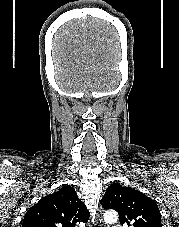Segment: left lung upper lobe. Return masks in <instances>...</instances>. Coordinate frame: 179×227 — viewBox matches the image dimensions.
<instances>
[{
  "instance_id": "1",
  "label": "left lung upper lobe",
  "mask_w": 179,
  "mask_h": 227,
  "mask_svg": "<svg viewBox=\"0 0 179 227\" xmlns=\"http://www.w3.org/2000/svg\"><path fill=\"white\" fill-rule=\"evenodd\" d=\"M101 204L104 209L119 213L121 225L162 227L156 202L138 190L113 183L107 188Z\"/></svg>"
}]
</instances>
